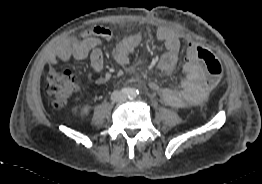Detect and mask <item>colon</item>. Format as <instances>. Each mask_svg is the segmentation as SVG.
<instances>
[{
  "label": "colon",
  "instance_id": "5ec220e1",
  "mask_svg": "<svg viewBox=\"0 0 262 184\" xmlns=\"http://www.w3.org/2000/svg\"><path fill=\"white\" fill-rule=\"evenodd\" d=\"M194 54L204 67L207 84L215 87L223 76L221 62L211 50L203 46H196ZM75 88L74 74L68 69L51 72L47 77V91L55 108L63 107Z\"/></svg>",
  "mask_w": 262,
  "mask_h": 184
}]
</instances>
